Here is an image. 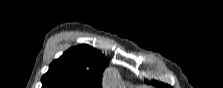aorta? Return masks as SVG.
<instances>
[{"label": "aorta", "mask_w": 223, "mask_h": 88, "mask_svg": "<svg viewBox=\"0 0 223 88\" xmlns=\"http://www.w3.org/2000/svg\"><path fill=\"white\" fill-rule=\"evenodd\" d=\"M120 80L114 69H108L104 75V85L109 88H117Z\"/></svg>", "instance_id": "1"}]
</instances>
